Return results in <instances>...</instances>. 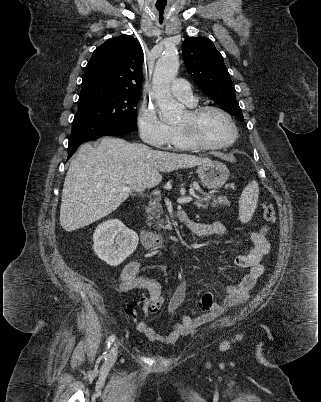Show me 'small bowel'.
Here are the masks:
<instances>
[{
  "instance_id": "c3829d8e",
  "label": "small bowel",
  "mask_w": 321,
  "mask_h": 402,
  "mask_svg": "<svg viewBox=\"0 0 321 402\" xmlns=\"http://www.w3.org/2000/svg\"><path fill=\"white\" fill-rule=\"evenodd\" d=\"M184 223L193 234L200 237L223 236L226 232L225 226L220 222L200 223L185 219ZM249 239L252 243L250 251L234 257V264L248 271L238 284L226 287L225 296L220 302H215L214 294L208 291L203 294L199 304L201 308L205 302L210 301L211 306L208 310H204V313L196 317L179 315L178 309L186 295L185 284L181 282L177 285L168 305L169 313L178 319L174 324L173 331L167 335H160L145 320L138 321L136 329L150 342L173 344L179 338L191 333L198 326L214 321L229 308L245 301L251 289L262 276L264 272L263 261L270 251L266 227L251 231ZM139 270L140 264L138 262H130L124 266L120 274V290L122 292L135 289L146 290L149 297L143 302V313L144 316H148L160 310L164 303V298L161 293V285L151 278L140 276Z\"/></svg>"
}]
</instances>
